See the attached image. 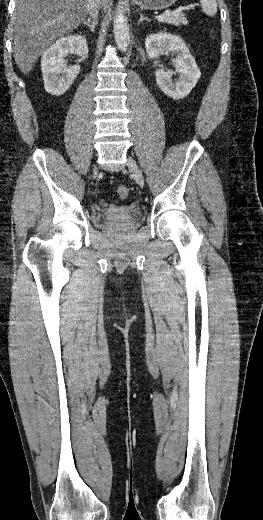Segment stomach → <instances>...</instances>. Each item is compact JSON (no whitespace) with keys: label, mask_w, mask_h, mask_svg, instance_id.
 <instances>
[{"label":"stomach","mask_w":263,"mask_h":520,"mask_svg":"<svg viewBox=\"0 0 263 520\" xmlns=\"http://www.w3.org/2000/svg\"><path fill=\"white\" fill-rule=\"evenodd\" d=\"M177 0H132V3L148 10H162L172 6Z\"/></svg>","instance_id":"1"}]
</instances>
